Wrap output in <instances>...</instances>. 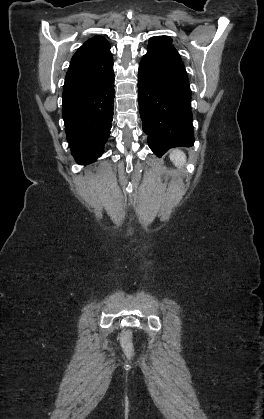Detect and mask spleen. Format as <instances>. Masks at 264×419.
I'll return each instance as SVG.
<instances>
[{"label": "spleen", "mask_w": 264, "mask_h": 419, "mask_svg": "<svg viewBox=\"0 0 264 419\" xmlns=\"http://www.w3.org/2000/svg\"><path fill=\"white\" fill-rule=\"evenodd\" d=\"M170 160L177 168H183L186 163V155L183 151L175 149L170 153Z\"/></svg>", "instance_id": "1"}]
</instances>
